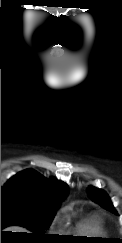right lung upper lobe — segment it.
<instances>
[{
  "label": "right lung upper lobe",
  "instance_id": "obj_1",
  "mask_svg": "<svg viewBox=\"0 0 122 243\" xmlns=\"http://www.w3.org/2000/svg\"><path fill=\"white\" fill-rule=\"evenodd\" d=\"M69 193L68 186L47 179L33 169L19 172L1 187V198H15L40 206H59Z\"/></svg>",
  "mask_w": 122,
  "mask_h": 243
}]
</instances>
